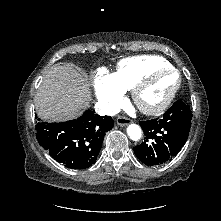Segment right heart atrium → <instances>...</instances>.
<instances>
[{
	"label": "right heart atrium",
	"instance_id": "obj_1",
	"mask_svg": "<svg viewBox=\"0 0 221 221\" xmlns=\"http://www.w3.org/2000/svg\"><path fill=\"white\" fill-rule=\"evenodd\" d=\"M93 86L97 100L106 112H115L122 105L125 90L112 73L98 71L94 76Z\"/></svg>",
	"mask_w": 221,
	"mask_h": 221
}]
</instances>
